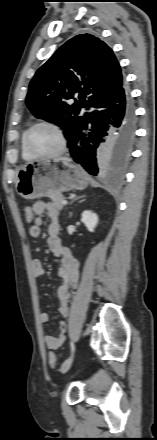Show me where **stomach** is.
Returning a JSON list of instances; mask_svg holds the SVG:
<instances>
[{"mask_svg": "<svg viewBox=\"0 0 157 440\" xmlns=\"http://www.w3.org/2000/svg\"><path fill=\"white\" fill-rule=\"evenodd\" d=\"M87 184V173L79 165L61 158L26 163L15 179L16 191L24 199L82 190Z\"/></svg>", "mask_w": 157, "mask_h": 440, "instance_id": "1", "label": "stomach"}]
</instances>
